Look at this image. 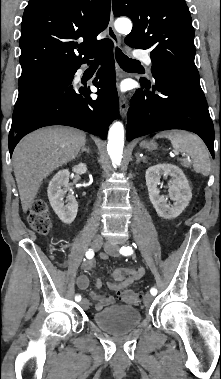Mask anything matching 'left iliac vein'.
Masks as SVG:
<instances>
[{"label": "left iliac vein", "mask_w": 221, "mask_h": 379, "mask_svg": "<svg viewBox=\"0 0 221 379\" xmlns=\"http://www.w3.org/2000/svg\"><path fill=\"white\" fill-rule=\"evenodd\" d=\"M118 244L116 242H106L104 244V250L107 254L111 256H117L118 255ZM153 301V296L151 294H146L144 297V304L145 306L151 305Z\"/></svg>", "instance_id": "4c4485c4"}]
</instances>
